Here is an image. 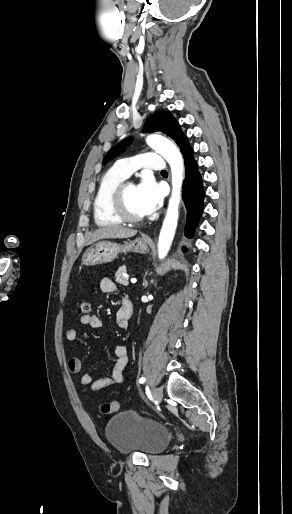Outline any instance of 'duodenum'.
I'll return each mask as SVG.
<instances>
[{
  "instance_id": "410a0bca",
  "label": "duodenum",
  "mask_w": 292,
  "mask_h": 514,
  "mask_svg": "<svg viewBox=\"0 0 292 514\" xmlns=\"http://www.w3.org/2000/svg\"><path fill=\"white\" fill-rule=\"evenodd\" d=\"M121 306L126 314V317L130 318L133 314V303L131 300L124 298L122 300Z\"/></svg>"
}]
</instances>
